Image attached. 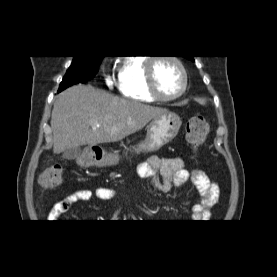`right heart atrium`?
Instances as JSON below:
<instances>
[{
    "label": "right heart atrium",
    "instance_id": "d8ad5b80",
    "mask_svg": "<svg viewBox=\"0 0 277 277\" xmlns=\"http://www.w3.org/2000/svg\"><path fill=\"white\" fill-rule=\"evenodd\" d=\"M104 80H105V83H106L107 86H112L113 83H114L113 78L111 76H108V75L105 76Z\"/></svg>",
    "mask_w": 277,
    "mask_h": 277
}]
</instances>
